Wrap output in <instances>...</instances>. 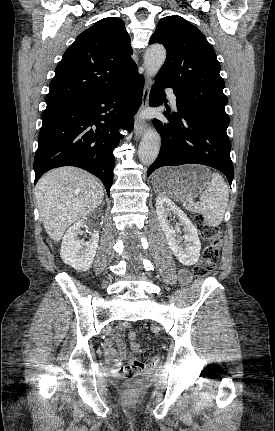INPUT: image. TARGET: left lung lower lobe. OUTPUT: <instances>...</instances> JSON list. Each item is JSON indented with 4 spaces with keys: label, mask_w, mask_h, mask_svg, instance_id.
I'll return each mask as SVG.
<instances>
[{
    "label": "left lung lower lobe",
    "mask_w": 275,
    "mask_h": 431,
    "mask_svg": "<svg viewBox=\"0 0 275 431\" xmlns=\"http://www.w3.org/2000/svg\"><path fill=\"white\" fill-rule=\"evenodd\" d=\"M165 87H170L165 80L156 79L150 92V106L162 104ZM176 103L177 112H163L169 123L153 120L161 134V149L147 175L162 166L203 164L221 171L231 185L234 168L230 158L231 142L226 133L229 123L183 107L177 100Z\"/></svg>",
    "instance_id": "1"
}]
</instances>
